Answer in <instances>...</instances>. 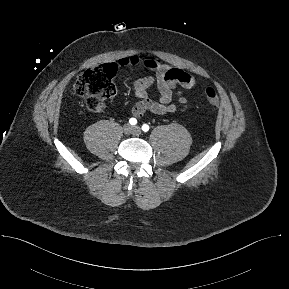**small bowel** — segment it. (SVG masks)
Listing matches in <instances>:
<instances>
[{
  "mask_svg": "<svg viewBox=\"0 0 289 289\" xmlns=\"http://www.w3.org/2000/svg\"><path fill=\"white\" fill-rule=\"evenodd\" d=\"M117 66H142L152 72L151 75L141 77L133 83L137 102L132 108L135 117H142L147 112L164 115L169 113H185L196 102L200 95L188 99L182 89H191L197 86V80L181 69L162 64L150 55L134 54L121 57ZM154 93L156 99L149 97ZM176 98V102H174Z\"/></svg>",
  "mask_w": 289,
  "mask_h": 289,
  "instance_id": "1",
  "label": "small bowel"
}]
</instances>
